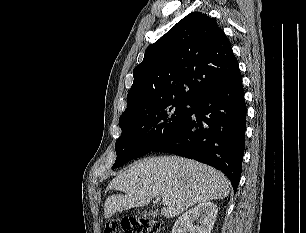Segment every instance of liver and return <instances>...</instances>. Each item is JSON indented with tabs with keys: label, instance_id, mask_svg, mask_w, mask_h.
<instances>
[{
	"label": "liver",
	"instance_id": "liver-1",
	"mask_svg": "<svg viewBox=\"0 0 306 233\" xmlns=\"http://www.w3.org/2000/svg\"><path fill=\"white\" fill-rule=\"evenodd\" d=\"M107 190L125 195H111L105 201L104 217L149 204L154 196L168 203L161 214L173 218L189 207L228 196L230 184L219 171L194 160L164 156L144 158L116 176Z\"/></svg>",
	"mask_w": 306,
	"mask_h": 233
}]
</instances>
